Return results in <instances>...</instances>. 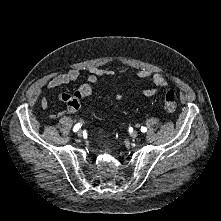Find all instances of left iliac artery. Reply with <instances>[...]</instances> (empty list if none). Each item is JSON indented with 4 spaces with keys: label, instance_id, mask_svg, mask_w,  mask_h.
Instances as JSON below:
<instances>
[{
    "label": "left iliac artery",
    "instance_id": "1",
    "mask_svg": "<svg viewBox=\"0 0 221 221\" xmlns=\"http://www.w3.org/2000/svg\"><path fill=\"white\" fill-rule=\"evenodd\" d=\"M140 130L141 132L145 133L147 131V128L142 126Z\"/></svg>",
    "mask_w": 221,
    "mask_h": 221
}]
</instances>
